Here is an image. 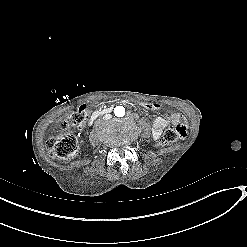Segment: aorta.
Wrapping results in <instances>:
<instances>
[{
    "mask_svg": "<svg viewBox=\"0 0 247 247\" xmlns=\"http://www.w3.org/2000/svg\"><path fill=\"white\" fill-rule=\"evenodd\" d=\"M114 114L117 117H122L125 114V108L123 106H117L114 109Z\"/></svg>",
    "mask_w": 247,
    "mask_h": 247,
    "instance_id": "1",
    "label": "aorta"
}]
</instances>
